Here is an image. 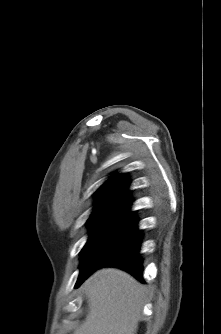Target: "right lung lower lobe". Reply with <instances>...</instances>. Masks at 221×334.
Returning a JSON list of instances; mask_svg holds the SVG:
<instances>
[{
  "instance_id": "obj_1",
  "label": "right lung lower lobe",
  "mask_w": 221,
  "mask_h": 334,
  "mask_svg": "<svg viewBox=\"0 0 221 334\" xmlns=\"http://www.w3.org/2000/svg\"><path fill=\"white\" fill-rule=\"evenodd\" d=\"M141 238H142L141 233L139 232L138 235L134 238V240L131 243H129L123 250L118 252L104 266H114V267L121 268L131 273L135 278H137L139 281L143 283L144 282L142 278L143 265H142V259L139 258ZM87 277H85V279ZM82 282L77 283L76 288L79 287L82 284Z\"/></svg>"
}]
</instances>
